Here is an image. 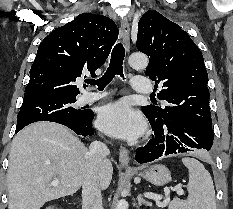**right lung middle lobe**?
Instances as JSON below:
<instances>
[{"label": "right lung middle lobe", "instance_id": "right-lung-middle-lobe-1", "mask_svg": "<svg viewBox=\"0 0 233 209\" xmlns=\"http://www.w3.org/2000/svg\"><path fill=\"white\" fill-rule=\"evenodd\" d=\"M75 98H50L23 103L17 116V126H27L38 121L60 124L77 122L86 115L85 110L71 106Z\"/></svg>", "mask_w": 233, "mask_h": 209}]
</instances>
